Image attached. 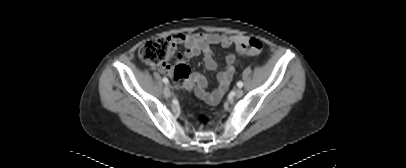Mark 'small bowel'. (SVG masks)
Listing matches in <instances>:
<instances>
[{"mask_svg": "<svg viewBox=\"0 0 406 168\" xmlns=\"http://www.w3.org/2000/svg\"><path fill=\"white\" fill-rule=\"evenodd\" d=\"M246 41L247 37L241 35H226L221 33L178 34L172 38L173 45L171 54L175 53L178 44L184 45L185 51L182 54L176 55L177 65L181 64L188 67L186 63L187 60L202 54L206 68L215 70L218 67V63L213 56L211 45H221L224 48L234 46L239 52L241 44ZM225 63L226 67L218 74V85L212 93L206 91L207 80L199 73H188V75L183 78H177L173 68L168 63L157 65L156 68L160 73L172 76L178 83H182L186 87L195 84V94L205 102L214 104L220 101L230 86L235 73V55H226Z\"/></svg>", "mask_w": 406, "mask_h": 168, "instance_id": "obj_1", "label": "small bowel"}]
</instances>
